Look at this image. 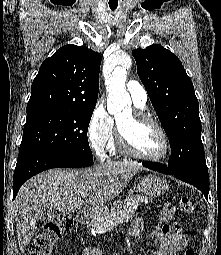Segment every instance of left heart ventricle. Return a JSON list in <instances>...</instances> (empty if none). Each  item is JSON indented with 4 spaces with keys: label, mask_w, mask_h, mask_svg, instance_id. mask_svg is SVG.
Returning a JSON list of instances; mask_svg holds the SVG:
<instances>
[{
    "label": "left heart ventricle",
    "mask_w": 221,
    "mask_h": 255,
    "mask_svg": "<svg viewBox=\"0 0 221 255\" xmlns=\"http://www.w3.org/2000/svg\"><path fill=\"white\" fill-rule=\"evenodd\" d=\"M118 124L129 135L139 153L148 157H156L163 152V139L153 125L134 123L131 113L122 116Z\"/></svg>",
    "instance_id": "b2bd125f"
}]
</instances>
